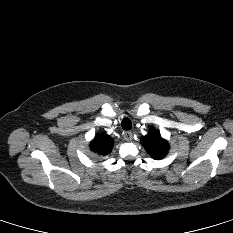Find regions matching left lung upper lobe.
<instances>
[{"instance_id":"obj_1","label":"left lung upper lobe","mask_w":233,"mask_h":233,"mask_svg":"<svg viewBox=\"0 0 233 233\" xmlns=\"http://www.w3.org/2000/svg\"><path fill=\"white\" fill-rule=\"evenodd\" d=\"M141 142L154 159H161L168 152V143L157 130L152 129L146 136L141 137Z\"/></svg>"}]
</instances>
